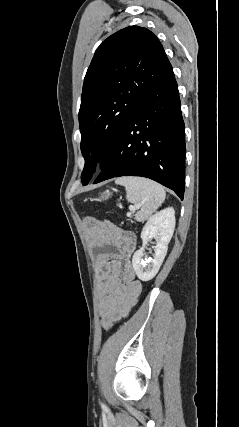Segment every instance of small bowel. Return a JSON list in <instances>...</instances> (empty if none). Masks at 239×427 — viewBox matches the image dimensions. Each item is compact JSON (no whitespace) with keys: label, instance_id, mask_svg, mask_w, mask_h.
<instances>
[{"label":"small bowel","instance_id":"c3829d8e","mask_svg":"<svg viewBox=\"0 0 239 427\" xmlns=\"http://www.w3.org/2000/svg\"><path fill=\"white\" fill-rule=\"evenodd\" d=\"M96 257L99 308L105 329L127 316L141 294L142 284L136 279L131 258L136 250V237L110 221H86Z\"/></svg>","mask_w":239,"mask_h":427}]
</instances>
